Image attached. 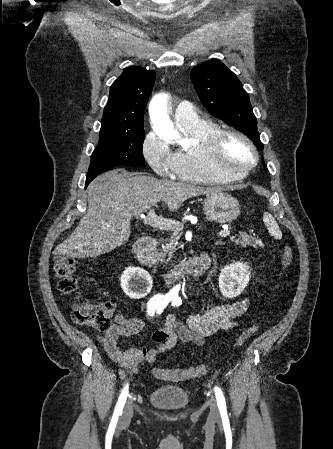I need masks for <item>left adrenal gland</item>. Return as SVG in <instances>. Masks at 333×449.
I'll use <instances>...</instances> for the list:
<instances>
[{"label": "left adrenal gland", "mask_w": 333, "mask_h": 449, "mask_svg": "<svg viewBox=\"0 0 333 449\" xmlns=\"http://www.w3.org/2000/svg\"><path fill=\"white\" fill-rule=\"evenodd\" d=\"M216 244H223L221 241L216 242Z\"/></svg>", "instance_id": "obj_1"}]
</instances>
